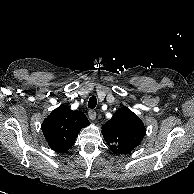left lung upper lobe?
<instances>
[{
	"instance_id": "1",
	"label": "left lung upper lobe",
	"mask_w": 194,
	"mask_h": 194,
	"mask_svg": "<svg viewBox=\"0 0 194 194\" xmlns=\"http://www.w3.org/2000/svg\"><path fill=\"white\" fill-rule=\"evenodd\" d=\"M145 133L143 122L125 106L102 126L105 141L113 152L119 154L130 153L140 144Z\"/></svg>"
}]
</instances>
